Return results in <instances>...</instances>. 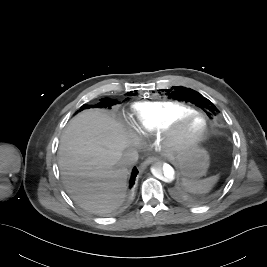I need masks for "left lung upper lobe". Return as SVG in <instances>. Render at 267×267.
Returning a JSON list of instances; mask_svg holds the SVG:
<instances>
[{
  "mask_svg": "<svg viewBox=\"0 0 267 267\" xmlns=\"http://www.w3.org/2000/svg\"><path fill=\"white\" fill-rule=\"evenodd\" d=\"M167 94L169 97H173L174 99H178L180 101L186 100L187 102L196 103L197 105L206 108L209 111V114L216 115V113L219 112L214 104L198 93L194 87H172Z\"/></svg>",
  "mask_w": 267,
  "mask_h": 267,
  "instance_id": "left-lung-upper-lobe-1",
  "label": "left lung upper lobe"
}]
</instances>
